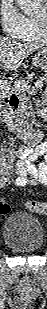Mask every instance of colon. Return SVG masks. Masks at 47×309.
<instances>
[{
    "instance_id": "obj_1",
    "label": "colon",
    "mask_w": 47,
    "mask_h": 309,
    "mask_svg": "<svg viewBox=\"0 0 47 309\" xmlns=\"http://www.w3.org/2000/svg\"><path fill=\"white\" fill-rule=\"evenodd\" d=\"M27 208L32 211L39 214H45L47 212V205L44 202L41 201H28L26 203ZM10 208L6 203L0 204V213L1 214H7L9 212Z\"/></svg>"
}]
</instances>
